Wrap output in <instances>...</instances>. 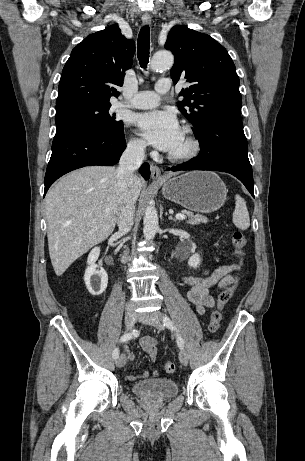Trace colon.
Here are the masks:
<instances>
[{"instance_id":"1","label":"colon","mask_w":305,"mask_h":461,"mask_svg":"<svg viewBox=\"0 0 305 461\" xmlns=\"http://www.w3.org/2000/svg\"><path fill=\"white\" fill-rule=\"evenodd\" d=\"M232 243H233V247L236 251L237 256L239 257L240 261H242V258L244 255L243 250L247 243L245 235L241 231H236L233 234ZM236 284H237V280H235L231 285L221 290L220 293L218 294L217 306L213 310L210 316V321H209L210 332L215 333L218 331L221 320H222V309L230 301L234 293V290L236 288ZM175 369H176V366L173 362L168 361L164 364V370L169 374L174 373Z\"/></svg>"}]
</instances>
